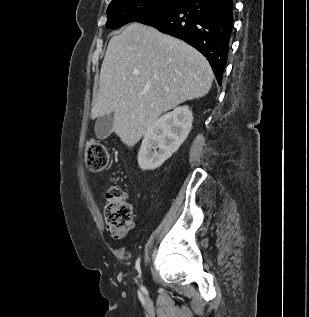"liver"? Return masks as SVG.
Returning a JSON list of instances; mask_svg holds the SVG:
<instances>
[{
  "label": "liver",
  "mask_w": 309,
  "mask_h": 317,
  "mask_svg": "<svg viewBox=\"0 0 309 317\" xmlns=\"http://www.w3.org/2000/svg\"><path fill=\"white\" fill-rule=\"evenodd\" d=\"M212 81L211 66L196 49L131 23L109 41L91 118L113 113L112 130L133 147L162 113L204 97Z\"/></svg>",
  "instance_id": "liver-1"
}]
</instances>
